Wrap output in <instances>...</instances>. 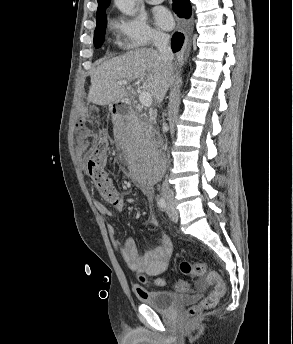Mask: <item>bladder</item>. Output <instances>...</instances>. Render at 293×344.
I'll return each mask as SVG.
<instances>
[{"mask_svg":"<svg viewBox=\"0 0 293 344\" xmlns=\"http://www.w3.org/2000/svg\"><path fill=\"white\" fill-rule=\"evenodd\" d=\"M141 299L143 303L153 309L168 311L187 297L174 291L146 290Z\"/></svg>","mask_w":293,"mask_h":344,"instance_id":"obj_1","label":"bladder"}]
</instances>
